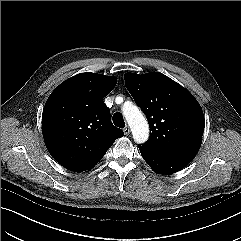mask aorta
Returning a JSON list of instances; mask_svg holds the SVG:
<instances>
[{"mask_svg":"<svg viewBox=\"0 0 241 241\" xmlns=\"http://www.w3.org/2000/svg\"><path fill=\"white\" fill-rule=\"evenodd\" d=\"M123 115L131 128L135 142L145 143L149 138V126L139 108L132 104L125 106Z\"/></svg>","mask_w":241,"mask_h":241,"instance_id":"obj_1","label":"aorta"}]
</instances>
